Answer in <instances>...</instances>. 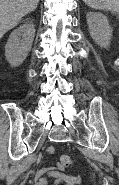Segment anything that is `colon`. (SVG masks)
Masks as SVG:
<instances>
[{"label": "colon", "instance_id": "1", "mask_svg": "<svg viewBox=\"0 0 119 185\" xmlns=\"http://www.w3.org/2000/svg\"><path fill=\"white\" fill-rule=\"evenodd\" d=\"M73 163L72 158L69 155H61L59 158V164L63 168L71 166ZM80 183V177L78 175L73 176L71 179L66 181L65 185H77Z\"/></svg>", "mask_w": 119, "mask_h": 185}]
</instances>
